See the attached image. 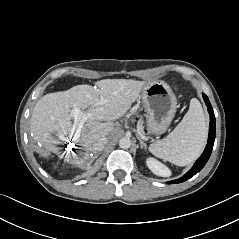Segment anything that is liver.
<instances>
[{
    "mask_svg": "<svg viewBox=\"0 0 239 239\" xmlns=\"http://www.w3.org/2000/svg\"><path fill=\"white\" fill-rule=\"evenodd\" d=\"M146 84L132 79H105L96 83V89L77 85L44 95L36 103L30 121V132L39 153L59 152L57 145L68 141L67 134L73 124L70 111L78 107L87 117L79 139L85 153L81 157L74 154L72 163L86 164L90 153L97 152L96 142L113 132V121L127 113Z\"/></svg>",
    "mask_w": 239,
    "mask_h": 239,
    "instance_id": "liver-1",
    "label": "liver"
}]
</instances>
